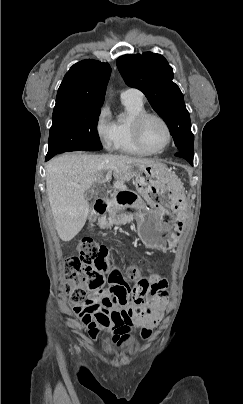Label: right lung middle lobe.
I'll use <instances>...</instances> for the list:
<instances>
[{"mask_svg":"<svg viewBox=\"0 0 243 404\" xmlns=\"http://www.w3.org/2000/svg\"><path fill=\"white\" fill-rule=\"evenodd\" d=\"M101 107L54 108L46 161L54 155L77 150H101L97 121Z\"/></svg>","mask_w":243,"mask_h":404,"instance_id":"right-lung-middle-lobe-1","label":"right lung middle lobe"}]
</instances>
